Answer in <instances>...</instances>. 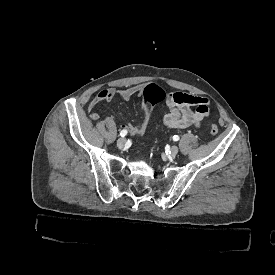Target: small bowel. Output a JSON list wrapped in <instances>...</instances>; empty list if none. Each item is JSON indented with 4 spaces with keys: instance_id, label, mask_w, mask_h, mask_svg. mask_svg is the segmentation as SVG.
<instances>
[{
    "instance_id": "c3829d8e",
    "label": "small bowel",
    "mask_w": 275,
    "mask_h": 275,
    "mask_svg": "<svg viewBox=\"0 0 275 275\" xmlns=\"http://www.w3.org/2000/svg\"><path fill=\"white\" fill-rule=\"evenodd\" d=\"M144 86L137 84L123 90L104 89L101 90L89 103L88 108L92 109L99 118L98 105L103 101H127L133 96H140ZM165 105L169 112L163 118V124L170 129H184L187 127H200L202 121L209 116V102L206 98L185 93L172 92L166 100ZM194 108V109H193ZM123 128L132 134L135 126L125 124Z\"/></svg>"
}]
</instances>
